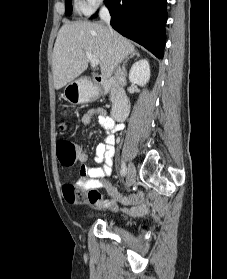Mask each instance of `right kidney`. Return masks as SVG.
Instances as JSON below:
<instances>
[{"label":"right kidney","mask_w":227,"mask_h":279,"mask_svg":"<svg viewBox=\"0 0 227 279\" xmlns=\"http://www.w3.org/2000/svg\"><path fill=\"white\" fill-rule=\"evenodd\" d=\"M150 79V65L146 59L134 63L129 72V80L140 86H144Z\"/></svg>","instance_id":"obj_1"}]
</instances>
